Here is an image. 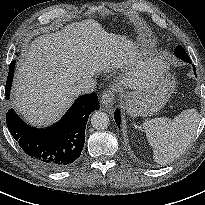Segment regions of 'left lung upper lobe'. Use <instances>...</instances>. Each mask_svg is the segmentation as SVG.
<instances>
[{
	"label": "left lung upper lobe",
	"mask_w": 205,
	"mask_h": 205,
	"mask_svg": "<svg viewBox=\"0 0 205 205\" xmlns=\"http://www.w3.org/2000/svg\"><path fill=\"white\" fill-rule=\"evenodd\" d=\"M174 54H175L178 58L182 59V60L185 61V62H188V63L191 62V60H190L188 54H187L186 51L183 49V47L180 46V45L175 48Z\"/></svg>",
	"instance_id": "left-lung-upper-lobe-1"
}]
</instances>
